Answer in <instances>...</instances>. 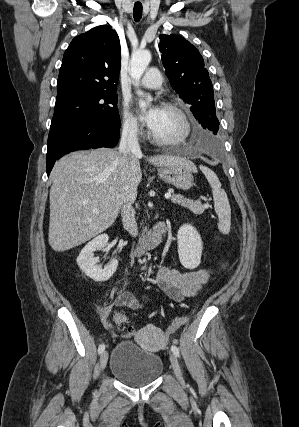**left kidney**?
<instances>
[{
	"instance_id": "5707ae66",
	"label": "left kidney",
	"mask_w": 299,
	"mask_h": 427,
	"mask_svg": "<svg viewBox=\"0 0 299 427\" xmlns=\"http://www.w3.org/2000/svg\"><path fill=\"white\" fill-rule=\"evenodd\" d=\"M178 255L182 266L195 269L201 263L203 243L200 234L190 224L182 225L177 234Z\"/></svg>"
}]
</instances>
